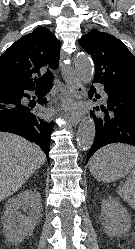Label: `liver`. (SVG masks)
<instances>
[{"instance_id":"obj_1","label":"liver","mask_w":135,"mask_h":249,"mask_svg":"<svg viewBox=\"0 0 135 249\" xmlns=\"http://www.w3.org/2000/svg\"><path fill=\"white\" fill-rule=\"evenodd\" d=\"M45 160L38 145L0 132V202L18 191Z\"/></svg>"}]
</instances>
